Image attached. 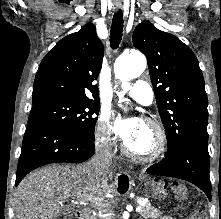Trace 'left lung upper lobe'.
Here are the masks:
<instances>
[{
  "label": "left lung upper lobe",
  "instance_id": "left-lung-upper-lobe-1",
  "mask_svg": "<svg viewBox=\"0 0 221 219\" xmlns=\"http://www.w3.org/2000/svg\"><path fill=\"white\" fill-rule=\"evenodd\" d=\"M133 44L147 58L168 152H174L190 139L208 140L207 94L191 49L149 21L136 26Z\"/></svg>",
  "mask_w": 221,
  "mask_h": 219
}]
</instances>
